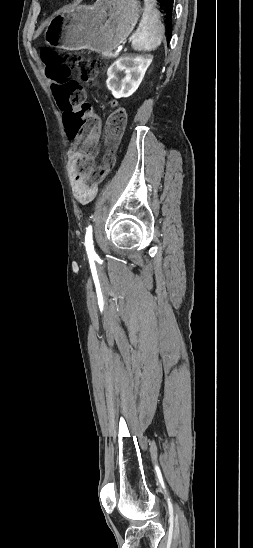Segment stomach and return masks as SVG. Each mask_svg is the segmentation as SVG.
Masks as SVG:
<instances>
[{"label": "stomach", "instance_id": "1", "mask_svg": "<svg viewBox=\"0 0 253 548\" xmlns=\"http://www.w3.org/2000/svg\"><path fill=\"white\" fill-rule=\"evenodd\" d=\"M141 12L137 0H97L58 14L48 24L45 36L51 45L103 55L127 39Z\"/></svg>", "mask_w": 253, "mask_h": 548}]
</instances>
